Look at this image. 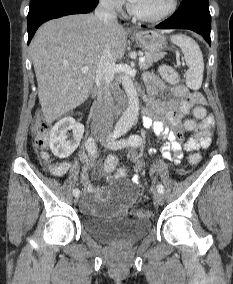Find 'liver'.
<instances>
[{"label": "liver", "instance_id": "6515ba94", "mask_svg": "<svg viewBox=\"0 0 233 284\" xmlns=\"http://www.w3.org/2000/svg\"><path fill=\"white\" fill-rule=\"evenodd\" d=\"M127 34L93 14L69 15L43 24L31 42L38 97L48 124L84 103L98 63L109 48L115 58L126 49ZM88 67L87 72L82 68Z\"/></svg>", "mask_w": 233, "mask_h": 284}]
</instances>
